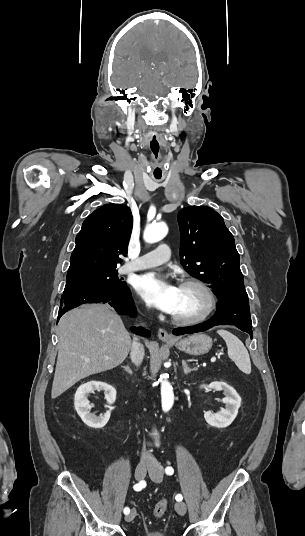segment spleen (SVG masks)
Returning <instances> with one entry per match:
<instances>
[{"label":"spleen","instance_id":"spleen-1","mask_svg":"<svg viewBox=\"0 0 305 536\" xmlns=\"http://www.w3.org/2000/svg\"><path fill=\"white\" fill-rule=\"evenodd\" d=\"M217 334L225 340L230 360L235 362L241 372L251 374L250 356L241 340L226 330H218Z\"/></svg>","mask_w":305,"mask_h":536}]
</instances>
